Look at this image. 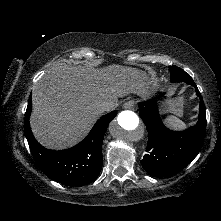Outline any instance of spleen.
<instances>
[{
    "label": "spleen",
    "instance_id": "obj_1",
    "mask_svg": "<svg viewBox=\"0 0 221 221\" xmlns=\"http://www.w3.org/2000/svg\"><path fill=\"white\" fill-rule=\"evenodd\" d=\"M165 123L173 129H183L185 128V124L182 120L175 116H168L165 119Z\"/></svg>",
    "mask_w": 221,
    "mask_h": 221
}]
</instances>
